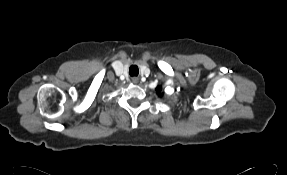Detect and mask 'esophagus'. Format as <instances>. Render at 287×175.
<instances>
[{
	"label": "esophagus",
	"instance_id": "esophagus-1",
	"mask_svg": "<svg viewBox=\"0 0 287 175\" xmlns=\"http://www.w3.org/2000/svg\"><path fill=\"white\" fill-rule=\"evenodd\" d=\"M138 81V79H134V82H137Z\"/></svg>",
	"mask_w": 287,
	"mask_h": 175
}]
</instances>
